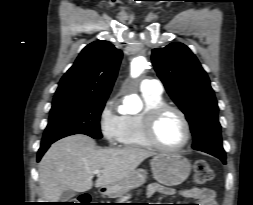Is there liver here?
Masks as SVG:
<instances>
[{
	"mask_svg": "<svg viewBox=\"0 0 253 205\" xmlns=\"http://www.w3.org/2000/svg\"><path fill=\"white\" fill-rule=\"evenodd\" d=\"M155 153L139 147L96 148L86 135L75 134L51 145L39 163V183L44 200L58 202L71 189L85 192L93 186V171L101 170L95 187L108 186L127 177Z\"/></svg>",
	"mask_w": 253,
	"mask_h": 205,
	"instance_id": "1",
	"label": "liver"
}]
</instances>
